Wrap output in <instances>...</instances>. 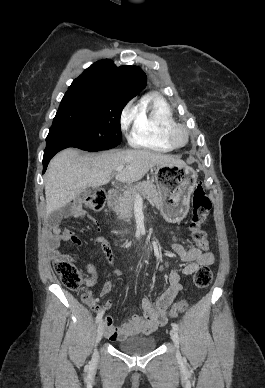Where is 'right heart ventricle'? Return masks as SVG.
I'll list each match as a JSON object with an SVG mask.
<instances>
[{
	"label": "right heart ventricle",
	"mask_w": 265,
	"mask_h": 388,
	"mask_svg": "<svg viewBox=\"0 0 265 388\" xmlns=\"http://www.w3.org/2000/svg\"><path fill=\"white\" fill-rule=\"evenodd\" d=\"M171 122L173 117L169 105L161 99L147 96L135 111L131 140L135 145L168 151L173 148L167 133Z\"/></svg>",
	"instance_id": "e07e8e85"
}]
</instances>
